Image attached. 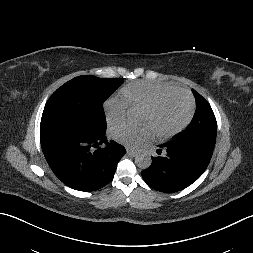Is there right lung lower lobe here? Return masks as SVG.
Instances as JSON below:
<instances>
[{
  "label": "right lung lower lobe",
  "instance_id": "right-lung-lower-lobe-1",
  "mask_svg": "<svg viewBox=\"0 0 253 253\" xmlns=\"http://www.w3.org/2000/svg\"><path fill=\"white\" fill-rule=\"evenodd\" d=\"M44 156L54 174L68 187L95 191L108 184L116 171L125 148L105 133L90 134L62 124L40 126ZM104 148L94 149L99 144Z\"/></svg>",
  "mask_w": 253,
  "mask_h": 253
}]
</instances>
